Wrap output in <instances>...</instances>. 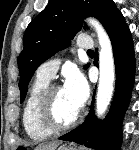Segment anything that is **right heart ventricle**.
<instances>
[{"label": "right heart ventricle", "instance_id": "obj_1", "mask_svg": "<svg viewBox=\"0 0 139 150\" xmlns=\"http://www.w3.org/2000/svg\"><path fill=\"white\" fill-rule=\"evenodd\" d=\"M50 80L36 77L34 80L27 99L24 104L22 113V122L27 135L33 140H42L49 137L52 132L44 129L37 117L38 104L45 89L48 87Z\"/></svg>", "mask_w": 139, "mask_h": 150}]
</instances>
